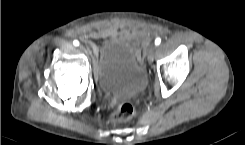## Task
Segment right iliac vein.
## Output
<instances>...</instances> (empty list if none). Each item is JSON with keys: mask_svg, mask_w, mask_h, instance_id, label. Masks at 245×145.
I'll return each instance as SVG.
<instances>
[{"mask_svg": "<svg viewBox=\"0 0 245 145\" xmlns=\"http://www.w3.org/2000/svg\"><path fill=\"white\" fill-rule=\"evenodd\" d=\"M79 49L84 51L85 50V47L83 45H79Z\"/></svg>", "mask_w": 245, "mask_h": 145, "instance_id": "63e3f726", "label": "right iliac vein"}]
</instances>
